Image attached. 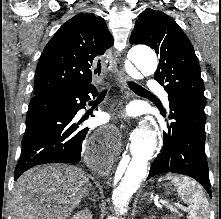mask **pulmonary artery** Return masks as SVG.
I'll return each instance as SVG.
<instances>
[{"mask_svg": "<svg viewBox=\"0 0 221 219\" xmlns=\"http://www.w3.org/2000/svg\"><path fill=\"white\" fill-rule=\"evenodd\" d=\"M148 91L151 94H158L162 96L163 102L165 103V105L168 107L169 106V99L168 96L166 94V92H164L163 87L161 86V84L156 81V80H150L148 83Z\"/></svg>", "mask_w": 221, "mask_h": 219, "instance_id": "e3ab8cb5", "label": "pulmonary artery"}]
</instances>
